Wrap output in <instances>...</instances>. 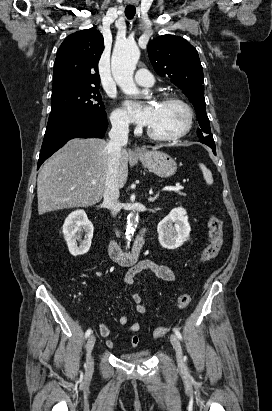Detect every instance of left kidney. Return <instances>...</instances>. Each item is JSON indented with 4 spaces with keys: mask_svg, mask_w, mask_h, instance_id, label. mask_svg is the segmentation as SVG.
<instances>
[{
    "mask_svg": "<svg viewBox=\"0 0 272 411\" xmlns=\"http://www.w3.org/2000/svg\"><path fill=\"white\" fill-rule=\"evenodd\" d=\"M157 231L162 247L176 249L182 246L191 231L186 210L181 207L172 209L169 215L159 222Z\"/></svg>",
    "mask_w": 272,
    "mask_h": 411,
    "instance_id": "left-kidney-1",
    "label": "left kidney"
}]
</instances>
